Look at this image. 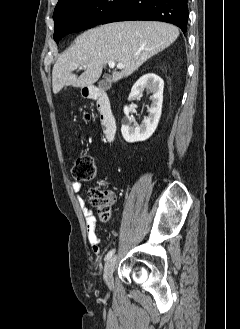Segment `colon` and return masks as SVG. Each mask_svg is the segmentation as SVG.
Segmentation results:
<instances>
[{"instance_id": "1", "label": "colon", "mask_w": 240, "mask_h": 329, "mask_svg": "<svg viewBox=\"0 0 240 329\" xmlns=\"http://www.w3.org/2000/svg\"><path fill=\"white\" fill-rule=\"evenodd\" d=\"M90 118V114L85 115V119L89 120ZM71 173L73 179L77 182L93 181L97 175L94 158L89 154L78 155L73 163ZM88 197L90 203L97 208L100 219L108 221L111 217V194L106 190L94 188L89 191Z\"/></svg>"}]
</instances>
